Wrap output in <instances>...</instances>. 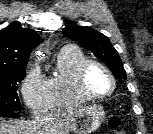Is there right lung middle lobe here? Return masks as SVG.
I'll use <instances>...</instances> for the list:
<instances>
[{
	"label": "right lung middle lobe",
	"instance_id": "1",
	"mask_svg": "<svg viewBox=\"0 0 153 134\" xmlns=\"http://www.w3.org/2000/svg\"><path fill=\"white\" fill-rule=\"evenodd\" d=\"M25 76V70L0 71V111L18 112L23 109L17 89Z\"/></svg>",
	"mask_w": 153,
	"mask_h": 134
}]
</instances>
